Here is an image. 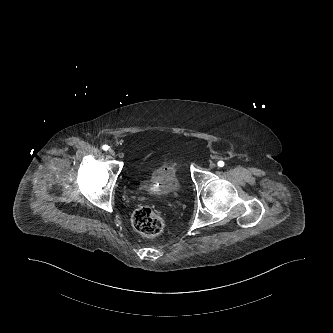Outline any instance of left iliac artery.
<instances>
[{
  "label": "left iliac artery",
  "mask_w": 333,
  "mask_h": 333,
  "mask_svg": "<svg viewBox=\"0 0 333 333\" xmlns=\"http://www.w3.org/2000/svg\"><path fill=\"white\" fill-rule=\"evenodd\" d=\"M217 165H218L219 167H223V166H224V162H223V161H219V162L217 163Z\"/></svg>",
  "instance_id": "left-iliac-artery-1"
}]
</instances>
